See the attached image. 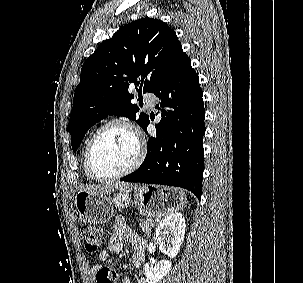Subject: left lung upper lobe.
I'll use <instances>...</instances> for the list:
<instances>
[{
    "mask_svg": "<svg viewBox=\"0 0 303 283\" xmlns=\"http://www.w3.org/2000/svg\"><path fill=\"white\" fill-rule=\"evenodd\" d=\"M182 52L176 32L149 17L124 25L101 43L84 62L75 89L68 124L73 151L88 129L108 115L128 117L143 127L148 116L136 117L139 108L130 102L129 86L153 92Z\"/></svg>",
    "mask_w": 303,
    "mask_h": 283,
    "instance_id": "obj_1",
    "label": "left lung upper lobe"
}]
</instances>
